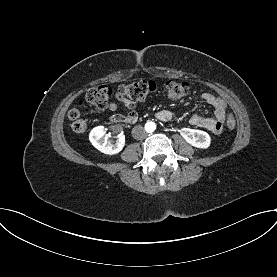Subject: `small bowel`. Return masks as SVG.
Returning <instances> with one entry per match:
<instances>
[{
  "mask_svg": "<svg viewBox=\"0 0 277 277\" xmlns=\"http://www.w3.org/2000/svg\"><path fill=\"white\" fill-rule=\"evenodd\" d=\"M117 98L130 109L127 115L119 113L120 107L116 103H110L108 109L113 113L109 119L112 122H128L133 123L137 120V113L133 110L134 103L117 94ZM202 99L214 108V117H203L198 114H192L189 118L190 124L204 128L214 134H220L223 131L225 116L227 113L226 102L212 93L205 92L202 94ZM157 118L161 121H170L173 118V113L170 110H161L157 113Z\"/></svg>",
  "mask_w": 277,
  "mask_h": 277,
  "instance_id": "c3829d8e",
  "label": "small bowel"
}]
</instances>
